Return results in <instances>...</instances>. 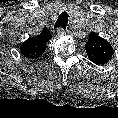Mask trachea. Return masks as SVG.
I'll use <instances>...</instances> for the list:
<instances>
[{
  "label": "trachea",
  "instance_id": "obj_1",
  "mask_svg": "<svg viewBox=\"0 0 118 118\" xmlns=\"http://www.w3.org/2000/svg\"><path fill=\"white\" fill-rule=\"evenodd\" d=\"M68 17H69V15L66 11L62 12L59 15V17H58V19H57V21L54 25V29L62 28L63 30H65L66 26H67V23H68Z\"/></svg>",
  "mask_w": 118,
  "mask_h": 118
}]
</instances>
